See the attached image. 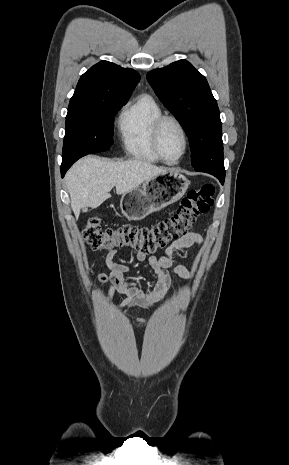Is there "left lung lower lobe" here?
<instances>
[{"label":"left lung lower lobe","instance_id":"0a47b994","mask_svg":"<svg viewBox=\"0 0 289 465\" xmlns=\"http://www.w3.org/2000/svg\"><path fill=\"white\" fill-rule=\"evenodd\" d=\"M216 177L220 180V182L223 184L224 179H225V174L224 175H216Z\"/></svg>","mask_w":289,"mask_h":465}]
</instances>
